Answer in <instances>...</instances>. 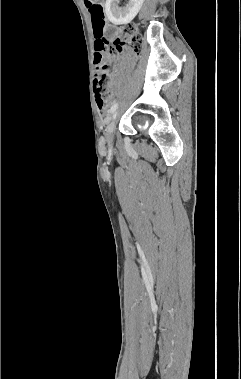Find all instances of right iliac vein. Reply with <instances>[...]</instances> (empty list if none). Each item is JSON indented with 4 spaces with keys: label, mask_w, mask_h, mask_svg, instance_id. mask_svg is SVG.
<instances>
[{
    "label": "right iliac vein",
    "mask_w": 241,
    "mask_h": 379,
    "mask_svg": "<svg viewBox=\"0 0 241 379\" xmlns=\"http://www.w3.org/2000/svg\"><path fill=\"white\" fill-rule=\"evenodd\" d=\"M117 113H118L117 111L113 112L111 122L106 129L105 135H106V139L108 142H111L113 139V133H114V129H115V121H116Z\"/></svg>",
    "instance_id": "63e3f726"
}]
</instances>
